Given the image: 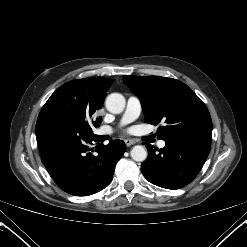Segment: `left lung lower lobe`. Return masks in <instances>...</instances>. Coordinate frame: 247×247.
Returning <instances> with one entry per match:
<instances>
[{
	"mask_svg": "<svg viewBox=\"0 0 247 247\" xmlns=\"http://www.w3.org/2000/svg\"><path fill=\"white\" fill-rule=\"evenodd\" d=\"M211 140L212 131L200 130L169 136L160 150L145 143L148 157L141 165L142 173L159 187L182 188L200 172L209 154Z\"/></svg>",
	"mask_w": 247,
	"mask_h": 247,
	"instance_id": "obj_1",
	"label": "left lung lower lobe"
}]
</instances>
